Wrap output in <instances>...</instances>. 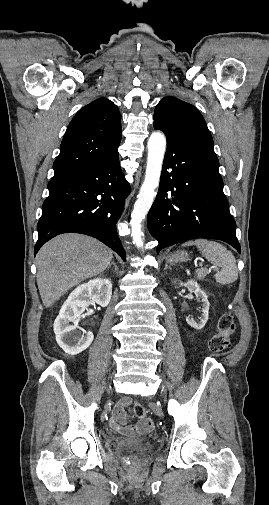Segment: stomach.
Returning <instances> with one entry per match:
<instances>
[{
    "label": "stomach",
    "instance_id": "0dacf381",
    "mask_svg": "<svg viewBox=\"0 0 269 505\" xmlns=\"http://www.w3.org/2000/svg\"><path fill=\"white\" fill-rule=\"evenodd\" d=\"M188 260V253L184 250L171 253L166 257V261L169 264H175L178 262H185Z\"/></svg>",
    "mask_w": 269,
    "mask_h": 505
}]
</instances>
